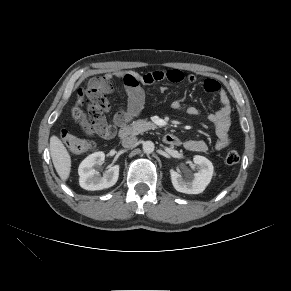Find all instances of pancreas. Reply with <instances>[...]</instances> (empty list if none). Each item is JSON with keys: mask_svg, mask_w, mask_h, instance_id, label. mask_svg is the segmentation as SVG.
<instances>
[{"mask_svg": "<svg viewBox=\"0 0 291 291\" xmlns=\"http://www.w3.org/2000/svg\"><path fill=\"white\" fill-rule=\"evenodd\" d=\"M156 125L144 119L133 121L129 129L131 134L137 135L150 129H155Z\"/></svg>", "mask_w": 291, "mask_h": 291, "instance_id": "cf45deb5", "label": "pancreas"}]
</instances>
